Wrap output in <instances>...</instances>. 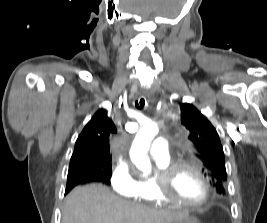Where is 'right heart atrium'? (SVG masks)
Masks as SVG:
<instances>
[{"label": "right heart atrium", "mask_w": 267, "mask_h": 223, "mask_svg": "<svg viewBox=\"0 0 267 223\" xmlns=\"http://www.w3.org/2000/svg\"><path fill=\"white\" fill-rule=\"evenodd\" d=\"M110 183L117 194L130 195L134 192L136 179L127 161L121 160L114 166Z\"/></svg>", "instance_id": "obj_1"}]
</instances>
